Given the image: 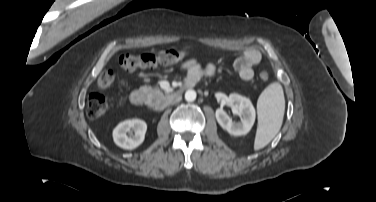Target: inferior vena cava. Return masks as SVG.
<instances>
[{"label":"inferior vena cava","instance_id":"obj_1","mask_svg":"<svg viewBox=\"0 0 376 202\" xmlns=\"http://www.w3.org/2000/svg\"><path fill=\"white\" fill-rule=\"evenodd\" d=\"M181 100L180 96H175L173 99L170 100V104L177 103Z\"/></svg>","mask_w":376,"mask_h":202}]
</instances>
